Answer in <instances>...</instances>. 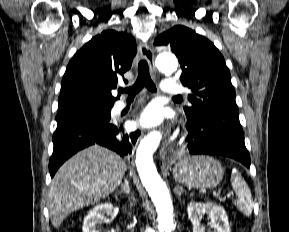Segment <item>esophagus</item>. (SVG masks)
I'll list each match as a JSON object with an SVG mask.
<instances>
[{
    "label": "esophagus",
    "instance_id": "1",
    "mask_svg": "<svg viewBox=\"0 0 289 232\" xmlns=\"http://www.w3.org/2000/svg\"><path fill=\"white\" fill-rule=\"evenodd\" d=\"M140 53L141 56L147 60L150 70L154 73L156 71L155 62H154V53L153 50L146 44H140ZM169 147V143L165 141L160 149V157L164 158L167 153V149Z\"/></svg>",
    "mask_w": 289,
    "mask_h": 232
}]
</instances>
